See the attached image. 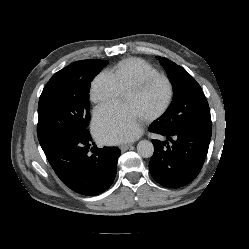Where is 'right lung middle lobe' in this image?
<instances>
[{"mask_svg": "<svg viewBox=\"0 0 249 249\" xmlns=\"http://www.w3.org/2000/svg\"><path fill=\"white\" fill-rule=\"evenodd\" d=\"M106 60H80L55 73L38 105L37 135L42 148L65 137L89 136V91Z\"/></svg>", "mask_w": 249, "mask_h": 249, "instance_id": "dd1d6c3e", "label": "right lung middle lobe"}]
</instances>
